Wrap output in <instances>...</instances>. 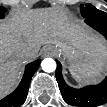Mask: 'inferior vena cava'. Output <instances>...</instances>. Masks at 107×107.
<instances>
[{"mask_svg":"<svg viewBox=\"0 0 107 107\" xmlns=\"http://www.w3.org/2000/svg\"><path fill=\"white\" fill-rule=\"evenodd\" d=\"M21 55L26 57V58H32L34 56L33 52H31L29 50L21 51Z\"/></svg>","mask_w":107,"mask_h":107,"instance_id":"obj_1","label":"inferior vena cava"}]
</instances>
